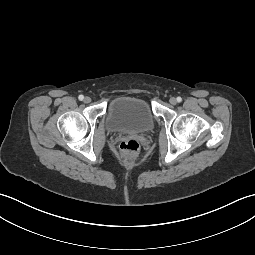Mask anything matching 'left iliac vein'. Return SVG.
Segmentation results:
<instances>
[{
	"label": "left iliac vein",
	"instance_id": "4c4485c4",
	"mask_svg": "<svg viewBox=\"0 0 255 255\" xmlns=\"http://www.w3.org/2000/svg\"><path fill=\"white\" fill-rule=\"evenodd\" d=\"M169 102H170L172 105H175V104L177 103V100H176V98L171 97L170 100H169Z\"/></svg>",
	"mask_w": 255,
	"mask_h": 255
}]
</instances>
